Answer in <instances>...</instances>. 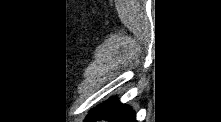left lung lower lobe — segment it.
Returning a JSON list of instances; mask_svg holds the SVG:
<instances>
[{"mask_svg":"<svg viewBox=\"0 0 221 122\" xmlns=\"http://www.w3.org/2000/svg\"><path fill=\"white\" fill-rule=\"evenodd\" d=\"M109 120L111 122H136L133 110L121 104L116 98H112L102 106L93 109L87 116V121Z\"/></svg>","mask_w":221,"mask_h":122,"instance_id":"0a47b994","label":"left lung lower lobe"}]
</instances>
